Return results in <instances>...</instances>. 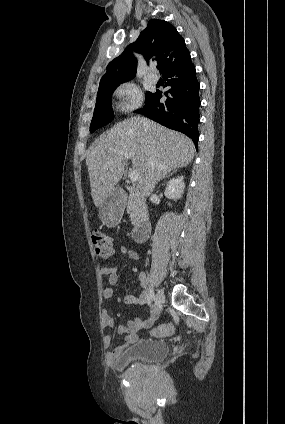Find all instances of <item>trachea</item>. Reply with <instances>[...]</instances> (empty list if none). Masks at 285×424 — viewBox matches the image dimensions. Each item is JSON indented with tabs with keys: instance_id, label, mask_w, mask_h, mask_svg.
Instances as JSON below:
<instances>
[{
	"instance_id": "1",
	"label": "trachea",
	"mask_w": 285,
	"mask_h": 424,
	"mask_svg": "<svg viewBox=\"0 0 285 424\" xmlns=\"http://www.w3.org/2000/svg\"><path fill=\"white\" fill-rule=\"evenodd\" d=\"M157 68L160 69L161 68V65H158Z\"/></svg>"
}]
</instances>
